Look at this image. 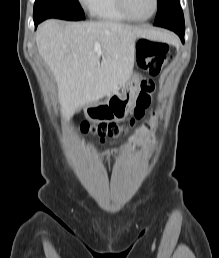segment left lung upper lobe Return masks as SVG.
I'll return each instance as SVG.
<instances>
[{
  "instance_id": "left-lung-upper-lobe-1",
  "label": "left lung upper lobe",
  "mask_w": 219,
  "mask_h": 258,
  "mask_svg": "<svg viewBox=\"0 0 219 258\" xmlns=\"http://www.w3.org/2000/svg\"><path fill=\"white\" fill-rule=\"evenodd\" d=\"M158 10L155 23L166 20H184L179 0H157Z\"/></svg>"
}]
</instances>
